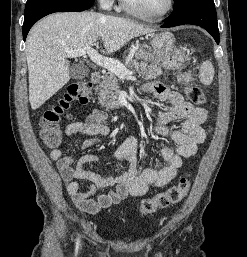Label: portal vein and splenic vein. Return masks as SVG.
<instances>
[{"label":"portal vein and splenic vein","instance_id":"portal-vein-and-splenic-vein-1","mask_svg":"<svg viewBox=\"0 0 247 257\" xmlns=\"http://www.w3.org/2000/svg\"><path fill=\"white\" fill-rule=\"evenodd\" d=\"M68 57H78L88 54L90 59L98 66L108 69L121 79L133 77V73L129 71L122 63L117 60L103 57L92 47H84L78 50H66Z\"/></svg>","mask_w":247,"mask_h":257}]
</instances>
